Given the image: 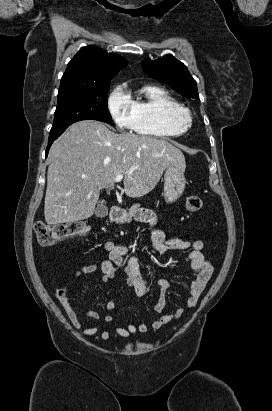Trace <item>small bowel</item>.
Instances as JSON below:
<instances>
[{
	"label": "small bowel",
	"mask_w": 272,
	"mask_h": 411,
	"mask_svg": "<svg viewBox=\"0 0 272 411\" xmlns=\"http://www.w3.org/2000/svg\"><path fill=\"white\" fill-rule=\"evenodd\" d=\"M138 218L150 225L151 246L161 256H165L171 250H189V253L185 257V261L190 265L195 278L190 285L186 309H194L213 272L211 263L203 255L204 243L201 240L189 241L178 238L166 239L164 232L156 227V218L154 214L149 211H141L138 214ZM104 250L108 253V259L105 260L100 267L94 264L81 267L75 273L72 282L75 283L81 277L93 274L97 270H100L102 274L101 281L103 283H108L116 277L118 269H121L127 286L133 289L137 296H145L149 292V281L141 274L137 258L129 254V247L125 245H117L112 241H106L104 243ZM157 286L160 291V296L157 303L154 305V311L159 315L158 318L153 321L151 325L142 322L138 325L127 324L125 326L115 327L113 329L115 334L124 339H127L136 333L145 334L150 329H161L163 326L182 315L184 311L183 308L177 309L174 314L162 313L166 304L165 294L169 289V283L166 280L160 279L157 281ZM59 301L74 327L81 329L84 335L93 336L99 332V329L96 326H83L67 297L60 298ZM115 308L116 303L113 300L108 301L105 305V309L108 313L113 312ZM86 316L90 319L103 321L105 323H110L113 320V317L110 314L102 315L93 310L87 311ZM100 337L102 340L110 339L111 331L103 330L100 333Z\"/></svg>",
	"instance_id": "small-bowel-1"
}]
</instances>
